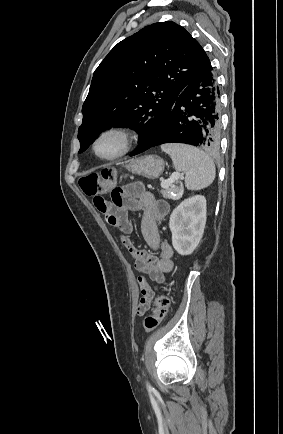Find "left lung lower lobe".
I'll list each match as a JSON object with an SVG mask.
<instances>
[{"instance_id": "obj_1", "label": "left lung lower lobe", "mask_w": 283, "mask_h": 434, "mask_svg": "<svg viewBox=\"0 0 283 434\" xmlns=\"http://www.w3.org/2000/svg\"><path fill=\"white\" fill-rule=\"evenodd\" d=\"M220 140V96L212 67L187 85L154 141L131 156L164 143H185L217 151Z\"/></svg>"}]
</instances>
